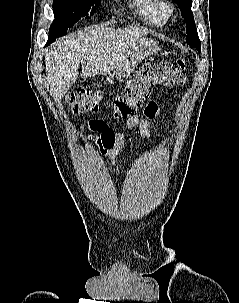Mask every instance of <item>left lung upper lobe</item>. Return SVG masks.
Listing matches in <instances>:
<instances>
[{
	"instance_id": "left-lung-upper-lobe-1",
	"label": "left lung upper lobe",
	"mask_w": 239,
	"mask_h": 303,
	"mask_svg": "<svg viewBox=\"0 0 239 303\" xmlns=\"http://www.w3.org/2000/svg\"><path fill=\"white\" fill-rule=\"evenodd\" d=\"M179 5L182 17L186 22V41L192 47L201 51V42L198 37L197 29L194 22L193 13L191 12L192 0H173Z\"/></svg>"
}]
</instances>
